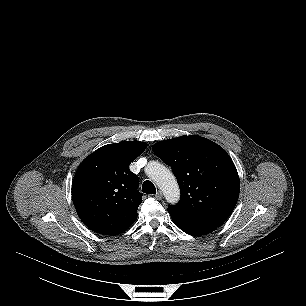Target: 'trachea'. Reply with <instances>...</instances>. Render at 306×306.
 Listing matches in <instances>:
<instances>
[{"instance_id":"trachea-1","label":"trachea","mask_w":306,"mask_h":306,"mask_svg":"<svg viewBox=\"0 0 306 306\" xmlns=\"http://www.w3.org/2000/svg\"><path fill=\"white\" fill-rule=\"evenodd\" d=\"M142 192L146 194H156V188L151 181L147 180L142 185Z\"/></svg>"}]
</instances>
